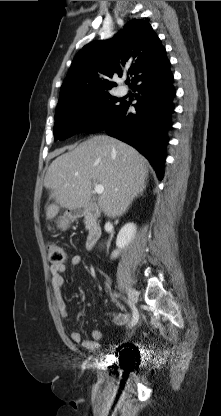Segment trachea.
Wrapping results in <instances>:
<instances>
[{
    "instance_id": "obj_1",
    "label": "trachea",
    "mask_w": 221,
    "mask_h": 416,
    "mask_svg": "<svg viewBox=\"0 0 221 416\" xmlns=\"http://www.w3.org/2000/svg\"><path fill=\"white\" fill-rule=\"evenodd\" d=\"M130 81H126V84H129Z\"/></svg>"
}]
</instances>
